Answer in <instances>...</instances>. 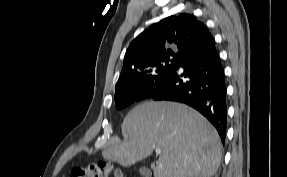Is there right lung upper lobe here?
<instances>
[{
  "mask_svg": "<svg viewBox=\"0 0 287 177\" xmlns=\"http://www.w3.org/2000/svg\"><path fill=\"white\" fill-rule=\"evenodd\" d=\"M205 30L204 23L185 13L153 24L130 43L115 87L135 84L160 60L179 58L187 45Z\"/></svg>",
  "mask_w": 287,
  "mask_h": 177,
  "instance_id": "cb5924a9",
  "label": "right lung upper lobe"
}]
</instances>
